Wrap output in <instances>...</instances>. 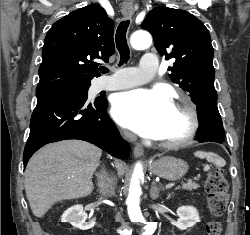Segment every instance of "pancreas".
Listing matches in <instances>:
<instances>
[{
  "label": "pancreas",
  "mask_w": 250,
  "mask_h": 235,
  "mask_svg": "<svg viewBox=\"0 0 250 235\" xmlns=\"http://www.w3.org/2000/svg\"><path fill=\"white\" fill-rule=\"evenodd\" d=\"M180 188L191 191V190H196L197 188H199V185L195 182L190 181L188 183L183 184L182 187H177L176 189H180Z\"/></svg>",
  "instance_id": "pancreas-1"
}]
</instances>
